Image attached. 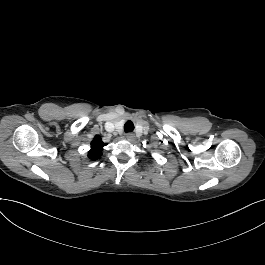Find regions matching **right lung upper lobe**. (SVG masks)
<instances>
[{
    "mask_svg": "<svg viewBox=\"0 0 265 265\" xmlns=\"http://www.w3.org/2000/svg\"><path fill=\"white\" fill-rule=\"evenodd\" d=\"M106 144L101 140L99 135L94 137V140L91 142V150L88 152V157L92 160H97L101 157L102 149Z\"/></svg>",
    "mask_w": 265,
    "mask_h": 265,
    "instance_id": "obj_1",
    "label": "right lung upper lobe"
}]
</instances>
